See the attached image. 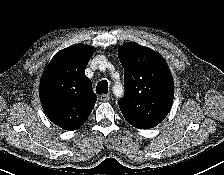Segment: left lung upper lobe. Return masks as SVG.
Returning <instances> with one entry per match:
<instances>
[{
  "label": "left lung upper lobe",
  "instance_id": "obj_1",
  "mask_svg": "<svg viewBox=\"0 0 224 175\" xmlns=\"http://www.w3.org/2000/svg\"><path fill=\"white\" fill-rule=\"evenodd\" d=\"M118 57L124 67L125 94L119 107L125 120L138 129L157 126L174 98L167 64L156 52L136 43L121 46Z\"/></svg>",
  "mask_w": 224,
  "mask_h": 175
}]
</instances>
